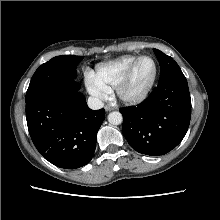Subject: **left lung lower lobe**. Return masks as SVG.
<instances>
[{
    "instance_id": "obj_1",
    "label": "left lung lower lobe",
    "mask_w": 220,
    "mask_h": 220,
    "mask_svg": "<svg viewBox=\"0 0 220 220\" xmlns=\"http://www.w3.org/2000/svg\"><path fill=\"white\" fill-rule=\"evenodd\" d=\"M120 112L122 133L134 150L151 156L168 153L182 141L190 123L191 98L185 76L159 82L144 103Z\"/></svg>"
}]
</instances>
